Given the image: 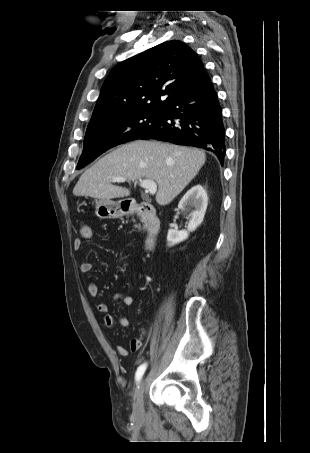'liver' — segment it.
<instances>
[{
    "instance_id": "obj_1",
    "label": "liver",
    "mask_w": 310,
    "mask_h": 453,
    "mask_svg": "<svg viewBox=\"0 0 310 453\" xmlns=\"http://www.w3.org/2000/svg\"><path fill=\"white\" fill-rule=\"evenodd\" d=\"M205 160V153L196 148L136 140L118 147L87 169L73 194L107 200L127 197L130 190L112 185V177L133 181L144 178L158 184L156 202L165 206L191 182Z\"/></svg>"
}]
</instances>
